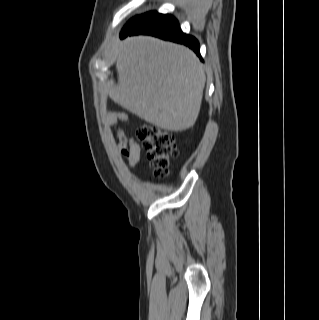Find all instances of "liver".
I'll use <instances>...</instances> for the list:
<instances>
[{
  "label": "liver",
  "instance_id": "1",
  "mask_svg": "<svg viewBox=\"0 0 319 320\" xmlns=\"http://www.w3.org/2000/svg\"><path fill=\"white\" fill-rule=\"evenodd\" d=\"M118 84L109 96L124 109L163 130L194 126L205 73L187 47L151 36L128 37L116 49Z\"/></svg>",
  "mask_w": 319,
  "mask_h": 320
}]
</instances>
